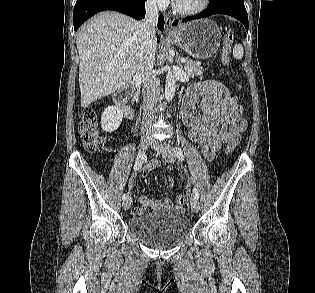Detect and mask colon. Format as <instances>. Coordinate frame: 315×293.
<instances>
[{"label": "colon", "mask_w": 315, "mask_h": 293, "mask_svg": "<svg viewBox=\"0 0 315 293\" xmlns=\"http://www.w3.org/2000/svg\"><path fill=\"white\" fill-rule=\"evenodd\" d=\"M234 32L233 30H227L224 40L221 42L220 49V60L227 65L229 60L232 43H234ZM79 133L81 136L82 143L88 152L96 151L100 146L105 143V137L100 133L98 128L97 114L93 109H87L84 111L80 124ZM236 143L232 142L228 145L227 152L230 153L235 148ZM176 203L179 206H185L187 199L184 195L176 196Z\"/></svg>", "instance_id": "1"}]
</instances>
